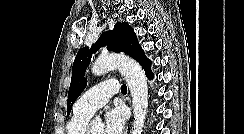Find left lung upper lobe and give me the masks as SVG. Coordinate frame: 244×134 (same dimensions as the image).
Returning a JSON list of instances; mask_svg holds the SVG:
<instances>
[{
  "label": "left lung upper lobe",
  "instance_id": "left-lung-upper-lobe-1",
  "mask_svg": "<svg viewBox=\"0 0 244 134\" xmlns=\"http://www.w3.org/2000/svg\"><path fill=\"white\" fill-rule=\"evenodd\" d=\"M106 44H108L109 51L124 52L137 60L145 71L150 70L151 61L145 57L133 28L128 23L119 22L115 24L114 29L103 33L90 50L85 47L78 51L72 67V78L67 100V115L70 114L72 105L87 85V79L84 76L91 61L92 53H95L101 46Z\"/></svg>",
  "mask_w": 244,
  "mask_h": 134
}]
</instances>
